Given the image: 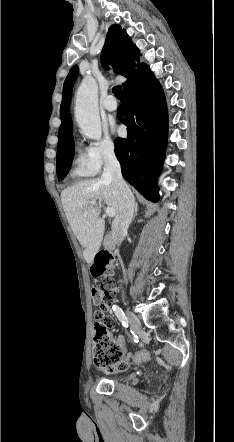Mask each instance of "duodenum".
Here are the masks:
<instances>
[{
    "instance_id": "obj_1",
    "label": "duodenum",
    "mask_w": 234,
    "mask_h": 442,
    "mask_svg": "<svg viewBox=\"0 0 234 442\" xmlns=\"http://www.w3.org/2000/svg\"><path fill=\"white\" fill-rule=\"evenodd\" d=\"M107 246H108V249H112V241L110 238L107 239Z\"/></svg>"
}]
</instances>
